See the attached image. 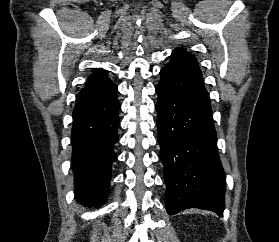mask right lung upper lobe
Masks as SVG:
<instances>
[{"mask_svg":"<svg viewBox=\"0 0 279 242\" xmlns=\"http://www.w3.org/2000/svg\"><path fill=\"white\" fill-rule=\"evenodd\" d=\"M112 85V81L109 80L102 69H98L90 75L88 81L86 82L85 88L78 94L77 97H86L96 94L104 89L109 88Z\"/></svg>","mask_w":279,"mask_h":242,"instance_id":"right-lung-upper-lobe-1","label":"right lung upper lobe"}]
</instances>
